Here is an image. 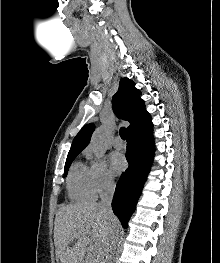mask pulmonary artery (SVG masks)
<instances>
[{"instance_id": "1", "label": "pulmonary artery", "mask_w": 220, "mask_h": 263, "mask_svg": "<svg viewBox=\"0 0 220 263\" xmlns=\"http://www.w3.org/2000/svg\"><path fill=\"white\" fill-rule=\"evenodd\" d=\"M113 145H114L115 148L120 149V148L123 147L124 143H123V141L120 139V137H116V138L114 139V141H113Z\"/></svg>"}]
</instances>
